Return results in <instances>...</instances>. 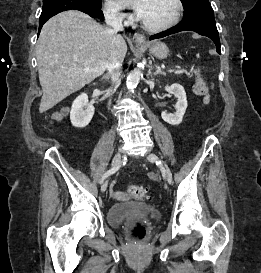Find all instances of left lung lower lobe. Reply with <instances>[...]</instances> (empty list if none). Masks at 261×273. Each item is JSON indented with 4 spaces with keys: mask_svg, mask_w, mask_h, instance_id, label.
<instances>
[{
    "mask_svg": "<svg viewBox=\"0 0 261 273\" xmlns=\"http://www.w3.org/2000/svg\"><path fill=\"white\" fill-rule=\"evenodd\" d=\"M195 31L209 37L216 45L220 54V40L217 31L214 12L208 0L198 2L184 10L183 20L175 27L150 37V40L162 38L180 31Z\"/></svg>",
    "mask_w": 261,
    "mask_h": 273,
    "instance_id": "0a47b994",
    "label": "left lung lower lobe"
}]
</instances>
